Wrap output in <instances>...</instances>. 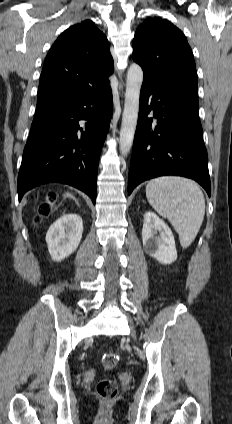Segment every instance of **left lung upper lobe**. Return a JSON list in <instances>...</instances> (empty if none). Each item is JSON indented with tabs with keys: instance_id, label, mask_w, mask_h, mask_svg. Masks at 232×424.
Instances as JSON below:
<instances>
[{
	"instance_id": "obj_1",
	"label": "left lung upper lobe",
	"mask_w": 232,
	"mask_h": 424,
	"mask_svg": "<svg viewBox=\"0 0 232 424\" xmlns=\"http://www.w3.org/2000/svg\"><path fill=\"white\" fill-rule=\"evenodd\" d=\"M132 59L143 69V84L197 90L192 50L184 34L167 20L148 18L137 28Z\"/></svg>"
}]
</instances>
